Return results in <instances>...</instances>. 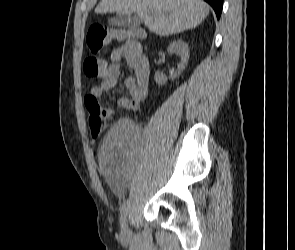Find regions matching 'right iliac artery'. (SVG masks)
<instances>
[{
	"label": "right iliac artery",
	"instance_id": "82829eb1",
	"mask_svg": "<svg viewBox=\"0 0 295 250\" xmlns=\"http://www.w3.org/2000/svg\"><path fill=\"white\" fill-rule=\"evenodd\" d=\"M128 209H129V201L126 200L122 206L121 209V215H120V223L121 227H123L126 224V218L128 215Z\"/></svg>",
	"mask_w": 295,
	"mask_h": 250
}]
</instances>
